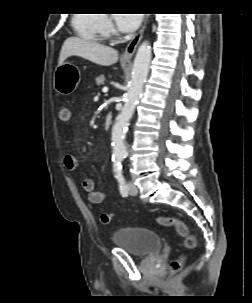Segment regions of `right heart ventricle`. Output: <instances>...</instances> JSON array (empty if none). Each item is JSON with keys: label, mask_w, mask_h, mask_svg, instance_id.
Instances as JSON below:
<instances>
[{"label": "right heart ventricle", "mask_w": 252, "mask_h": 303, "mask_svg": "<svg viewBox=\"0 0 252 303\" xmlns=\"http://www.w3.org/2000/svg\"><path fill=\"white\" fill-rule=\"evenodd\" d=\"M104 20L103 14H78L73 24L81 35L102 39L105 35Z\"/></svg>", "instance_id": "right-heart-ventricle-1"}]
</instances>
